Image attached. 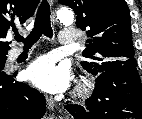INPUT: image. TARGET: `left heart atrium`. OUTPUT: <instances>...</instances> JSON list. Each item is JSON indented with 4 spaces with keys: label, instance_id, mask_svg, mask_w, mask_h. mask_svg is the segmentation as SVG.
Masks as SVG:
<instances>
[{
    "label": "left heart atrium",
    "instance_id": "obj_1",
    "mask_svg": "<svg viewBox=\"0 0 142 119\" xmlns=\"http://www.w3.org/2000/svg\"><path fill=\"white\" fill-rule=\"evenodd\" d=\"M28 79L40 89L57 93L69 84V70L64 65H56L49 56L36 59L26 71Z\"/></svg>",
    "mask_w": 142,
    "mask_h": 119
}]
</instances>
